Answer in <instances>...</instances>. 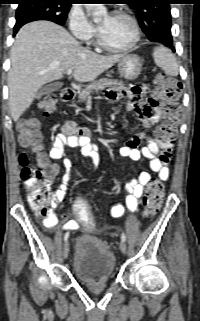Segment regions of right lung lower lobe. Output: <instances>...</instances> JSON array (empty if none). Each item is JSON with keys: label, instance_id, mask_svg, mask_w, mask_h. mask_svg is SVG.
Wrapping results in <instances>:
<instances>
[{"label": "right lung lower lobe", "instance_id": "right-lung-lower-lobe-1", "mask_svg": "<svg viewBox=\"0 0 200 321\" xmlns=\"http://www.w3.org/2000/svg\"><path fill=\"white\" fill-rule=\"evenodd\" d=\"M36 20H44L42 19V17H31L29 19H23V20H20L19 22H17L14 26V35L17 33V31L26 23L28 22H31V21H36Z\"/></svg>", "mask_w": 200, "mask_h": 321}]
</instances>
